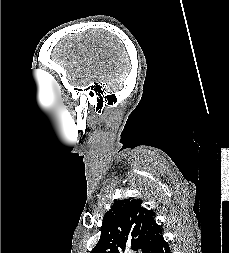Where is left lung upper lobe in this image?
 <instances>
[{"instance_id":"1","label":"left lung upper lobe","mask_w":229,"mask_h":253,"mask_svg":"<svg viewBox=\"0 0 229 253\" xmlns=\"http://www.w3.org/2000/svg\"><path fill=\"white\" fill-rule=\"evenodd\" d=\"M163 239L162 229L141 200H115L103 218L101 236L91 253H123L127 243L143 253H153Z\"/></svg>"}]
</instances>
